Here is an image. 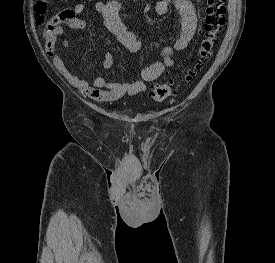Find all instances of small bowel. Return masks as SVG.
<instances>
[{"label":"small bowel","instance_id":"1","mask_svg":"<svg viewBox=\"0 0 275 263\" xmlns=\"http://www.w3.org/2000/svg\"><path fill=\"white\" fill-rule=\"evenodd\" d=\"M171 6L179 12L180 30L178 37L174 41L166 43L161 49L162 59L143 66L139 71L138 78L135 80L118 83L109 81L103 76H98L93 81L81 79L68 70L62 56L56 52L57 41L66 28L83 30L87 27V21L80 16L87 9L86 2H80L73 7L65 8L51 19L44 37L47 55L52 58L55 68L70 85L94 101L114 102L127 95L143 93L146 90V83L158 79L167 68L175 65L174 53L187 48L197 29V4L194 1L158 0L154 9L156 15H166ZM93 7L106 29L129 52L137 53L141 50L142 41L133 32L129 31L121 20V3L119 0L97 1ZM61 44L64 47L69 45L67 39H62ZM102 64L104 69H110L114 64L113 55L106 53Z\"/></svg>","mask_w":275,"mask_h":263}]
</instances>
